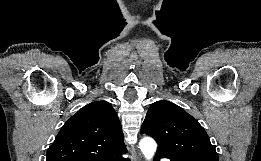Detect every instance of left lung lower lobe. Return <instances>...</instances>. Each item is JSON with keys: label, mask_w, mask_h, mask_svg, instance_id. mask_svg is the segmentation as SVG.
<instances>
[{"label": "left lung lower lobe", "mask_w": 261, "mask_h": 161, "mask_svg": "<svg viewBox=\"0 0 261 161\" xmlns=\"http://www.w3.org/2000/svg\"><path fill=\"white\" fill-rule=\"evenodd\" d=\"M159 158H168L170 159L171 161H181V160H178V159H172V158H169L163 154H160V153H156V157H155V160L154 161H159Z\"/></svg>", "instance_id": "obj_1"}]
</instances>
